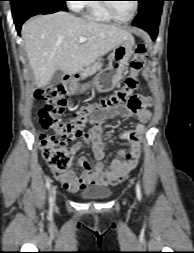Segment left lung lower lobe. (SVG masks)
<instances>
[{
    "mask_svg": "<svg viewBox=\"0 0 194 253\" xmlns=\"http://www.w3.org/2000/svg\"><path fill=\"white\" fill-rule=\"evenodd\" d=\"M163 1L149 0L139 7V12L133 21V25L146 30L154 40L157 36Z\"/></svg>",
    "mask_w": 194,
    "mask_h": 253,
    "instance_id": "left-lung-lower-lobe-1",
    "label": "left lung lower lobe"
}]
</instances>
